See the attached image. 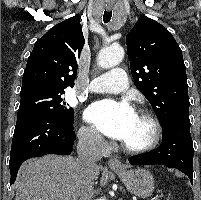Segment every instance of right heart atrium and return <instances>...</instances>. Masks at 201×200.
Segmentation results:
<instances>
[{
    "instance_id": "right-heart-atrium-1",
    "label": "right heart atrium",
    "mask_w": 201,
    "mask_h": 200,
    "mask_svg": "<svg viewBox=\"0 0 201 200\" xmlns=\"http://www.w3.org/2000/svg\"><path fill=\"white\" fill-rule=\"evenodd\" d=\"M78 137L80 143L89 150L103 153L107 148V142L90 126H82L79 129Z\"/></svg>"
}]
</instances>
